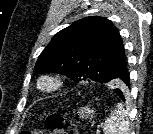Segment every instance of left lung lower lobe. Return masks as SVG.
Instances as JSON below:
<instances>
[{
	"mask_svg": "<svg viewBox=\"0 0 153 134\" xmlns=\"http://www.w3.org/2000/svg\"><path fill=\"white\" fill-rule=\"evenodd\" d=\"M118 77L119 79L126 85L127 88L130 87V78H129V72L127 67H125L124 69H122L119 73H118ZM123 101H125V93L122 90L119 89H114L113 90Z\"/></svg>",
	"mask_w": 153,
	"mask_h": 134,
	"instance_id": "left-lung-lower-lobe-1",
	"label": "left lung lower lobe"
}]
</instances>
